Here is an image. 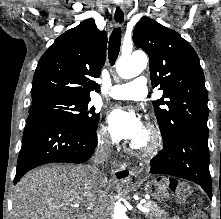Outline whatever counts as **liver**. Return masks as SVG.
<instances>
[{
    "mask_svg": "<svg viewBox=\"0 0 221 219\" xmlns=\"http://www.w3.org/2000/svg\"><path fill=\"white\" fill-rule=\"evenodd\" d=\"M108 191L107 178L95 177L90 166H43L28 172L15 187L13 219H70L76 205L107 214Z\"/></svg>",
    "mask_w": 221,
    "mask_h": 219,
    "instance_id": "6515ba94",
    "label": "liver"
}]
</instances>
